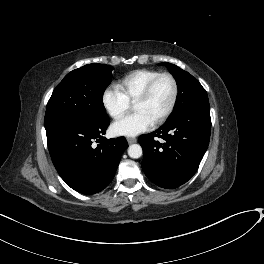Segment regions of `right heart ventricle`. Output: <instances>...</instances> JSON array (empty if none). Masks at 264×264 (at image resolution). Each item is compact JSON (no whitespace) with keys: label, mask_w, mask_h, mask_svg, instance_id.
<instances>
[{"label":"right heart ventricle","mask_w":264,"mask_h":264,"mask_svg":"<svg viewBox=\"0 0 264 264\" xmlns=\"http://www.w3.org/2000/svg\"><path fill=\"white\" fill-rule=\"evenodd\" d=\"M159 73L153 69L134 70L122 78L118 87L130 102H134L147 83Z\"/></svg>","instance_id":"right-heart-ventricle-1"}]
</instances>
